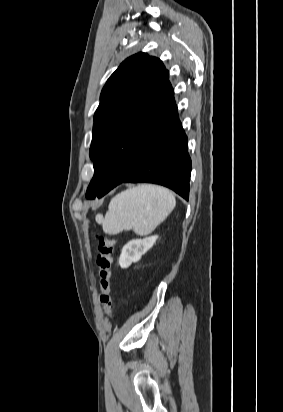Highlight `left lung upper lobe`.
<instances>
[{
	"instance_id": "5c2ea615",
	"label": "left lung upper lobe",
	"mask_w": 283,
	"mask_h": 412,
	"mask_svg": "<svg viewBox=\"0 0 283 412\" xmlns=\"http://www.w3.org/2000/svg\"><path fill=\"white\" fill-rule=\"evenodd\" d=\"M169 74L162 62L138 53L126 59L106 82L94 115L90 158L95 166L100 152L124 154L136 164L157 125L175 105ZM100 184L91 180L87 199Z\"/></svg>"
}]
</instances>
